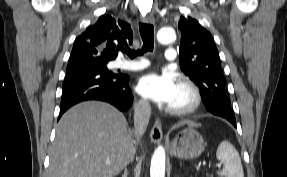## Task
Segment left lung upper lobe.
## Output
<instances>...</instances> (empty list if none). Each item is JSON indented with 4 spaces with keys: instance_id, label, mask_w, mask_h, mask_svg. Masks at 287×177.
I'll list each match as a JSON object with an SVG mask.
<instances>
[{
    "instance_id": "left-lung-upper-lobe-1",
    "label": "left lung upper lobe",
    "mask_w": 287,
    "mask_h": 177,
    "mask_svg": "<svg viewBox=\"0 0 287 177\" xmlns=\"http://www.w3.org/2000/svg\"><path fill=\"white\" fill-rule=\"evenodd\" d=\"M178 27L181 30L179 62L182 71L199 86L206 108L216 96L221 95L227 100L225 111L233 114L225 91L226 79L212 35L191 17L181 16Z\"/></svg>"
}]
</instances>
